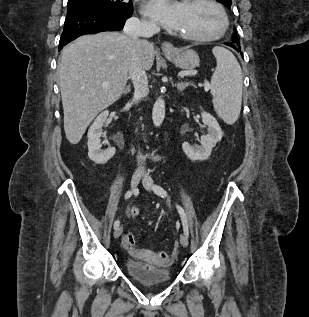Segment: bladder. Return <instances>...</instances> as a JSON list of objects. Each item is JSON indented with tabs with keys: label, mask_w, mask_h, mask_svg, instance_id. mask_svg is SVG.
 I'll return each mask as SVG.
<instances>
[{
	"label": "bladder",
	"mask_w": 309,
	"mask_h": 317,
	"mask_svg": "<svg viewBox=\"0 0 309 317\" xmlns=\"http://www.w3.org/2000/svg\"><path fill=\"white\" fill-rule=\"evenodd\" d=\"M125 271L131 279L145 287L163 285L171 281L169 268L133 258L125 261Z\"/></svg>",
	"instance_id": "bladder-1"
}]
</instances>
